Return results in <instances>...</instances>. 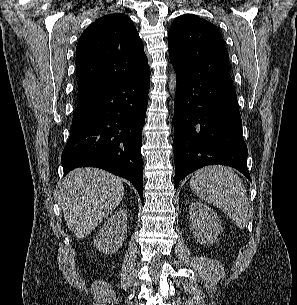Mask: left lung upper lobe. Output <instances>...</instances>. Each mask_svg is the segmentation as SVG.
<instances>
[{
  "label": "left lung upper lobe",
  "instance_id": "left-lung-upper-lobe-1",
  "mask_svg": "<svg viewBox=\"0 0 297 305\" xmlns=\"http://www.w3.org/2000/svg\"><path fill=\"white\" fill-rule=\"evenodd\" d=\"M172 64L194 76L230 75L229 54L216 26L192 14L177 17L168 32Z\"/></svg>",
  "mask_w": 297,
  "mask_h": 305
}]
</instances>
